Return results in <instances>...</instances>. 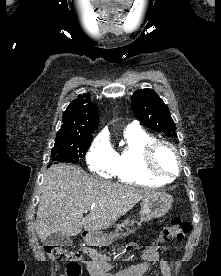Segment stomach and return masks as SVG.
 Instances as JSON below:
<instances>
[{"label": "stomach", "instance_id": "0dacf381", "mask_svg": "<svg viewBox=\"0 0 221 276\" xmlns=\"http://www.w3.org/2000/svg\"><path fill=\"white\" fill-rule=\"evenodd\" d=\"M173 203L171 195L163 192H154L145 197L141 204V218L147 221L152 218L164 216L170 210ZM133 231H127L122 236L128 235ZM118 237L119 234H116ZM113 236L101 232L91 233L86 237V243L90 246H106L112 242Z\"/></svg>", "mask_w": 221, "mask_h": 276}]
</instances>
